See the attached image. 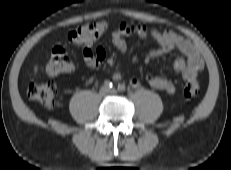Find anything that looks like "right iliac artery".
<instances>
[{"label":"right iliac artery","mask_w":231,"mask_h":170,"mask_svg":"<svg viewBox=\"0 0 231 170\" xmlns=\"http://www.w3.org/2000/svg\"><path fill=\"white\" fill-rule=\"evenodd\" d=\"M104 87H106L107 89H112L113 88V83L109 80H106L104 82Z\"/></svg>","instance_id":"right-iliac-artery-1"}]
</instances>
